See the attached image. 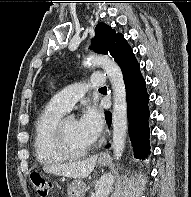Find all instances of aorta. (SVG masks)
I'll return each instance as SVG.
<instances>
[{
  "mask_svg": "<svg viewBox=\"0 0 191 197\" xmlns=\"http://www.w3.org/2000/svg\"><path fill=\"white\" fill-rule=\"evenodd\" d=\"M85 66L102 67L107 74L113 90L112 145L116 160L122 156L127 136V101L124 78L119 65L103 55H90L84 61Z\"/></svg>",
  "mask_w": 191,
  "mask_h": 197,
  "instance_id": "aorta-1",
  "label": "aorta"
}]
</instances>
